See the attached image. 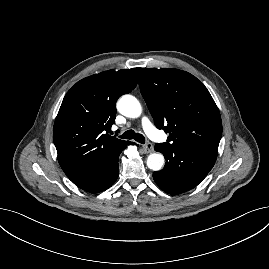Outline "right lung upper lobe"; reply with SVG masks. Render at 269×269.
I'll list each match as a JSON object with an SVG mask.
<instances>
[{
  "label": "right lung upper lobe",
  "instance_id": "1",
  "mask_svg": "<svg viewBox=\"0 0 269 269\" xmlns=\"http://www.w3.org/2000/svg\"><path fill=\"white\" fill-rule=\"evenodd\" d=\"M141 68L109 70L77 82L65 95L53 128L58 162L74 183L123 149L126 142L108 134L116 101L138 82Z\"/></svg>",
  "mask_w": 269,
  "mask_h": 269
}]
</instances>
